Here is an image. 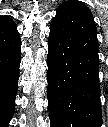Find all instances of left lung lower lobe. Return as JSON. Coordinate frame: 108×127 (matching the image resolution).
I'll return each mask as SVG.
<instances>
[{
	"label": "left lung lower lobe",
	"instance_id": "left-lung-lower-lobe-1",
	"mask_svg": "<svg viewBox=\"0 0 108 127\" xmlns=\"http://www.w3.org/2000/svg\"><path fill=\"white\" fill-rule=\"evenodd\" d=\"M98 53L89 8L79 1L59 5L47 57L51 127H101Z\"/></svg>",
	"mask_w": 108,
	"mask_h": 127
}]
</instances>
